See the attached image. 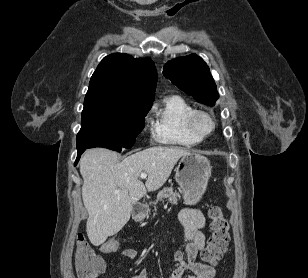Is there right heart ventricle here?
<instances>
[{
  "instance_id": "right-heart-ventricle-1",
  "label": "right heart ventricle",
  "mask_w": 308,
  "mask_h": 278,
  "mask_svg": "<svg viewBox=\"0 0 308 278\" xmlns=\"http://www.w3.org/2000/svg\"><path fill=\"white\" fill-rule=\"evenodd\" d=\"M195 109L178 95L166 96L153 112V129L158 142L192 147L201 140L188 129L186 119Z\"/></svg>"
}]
</instances>
